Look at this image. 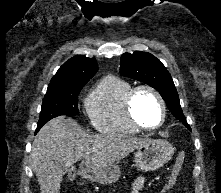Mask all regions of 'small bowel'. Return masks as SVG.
<instances>
[{
	"instance_id": "1",
	"label": "small bowel",
	"mask_w": 221,
	"mask_h": 193,
	"mask_svg": "<svg viewBox=\"0 0 221 193\" xmlns=\"http://www.w3.org/2000/svg\"><path fill=\"white\" fill-rule=\"evenodd\" d=\"M144 180H145L144 176H139L136 179L135 186H134V189H133V193H140V190H141V187L143 185Z\"/></svg>"
}]
</instances>
